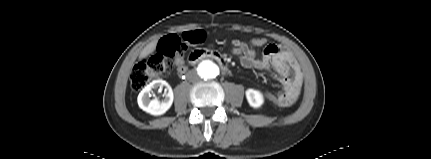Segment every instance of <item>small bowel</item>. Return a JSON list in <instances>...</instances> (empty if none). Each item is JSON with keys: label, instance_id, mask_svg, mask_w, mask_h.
Returning <instances> with one entry per match:
<instances>
[{"label": "small bowel", "instance_id": "1", "mask_svg": "<svg viewBox=\"0 0 431 159\" xmlns=\"http://www.w3.org/2000/svg\"><path fill=\"white\" fill-rule=\"evenodd\" d=\"M242 46L245 52L235 55L245 68H254L271 73L283 91L271 99L273 106H290L298 99L302 87V73L292 53L277 44H269L266 38H255L250 42L232 40V48ZM257 48H263L261 55L256 54ZM180 73L186 71V65L180 58L177 60Z\"/></svg>", "mask_w": 431, "mask_h": 159}]
</instances>
